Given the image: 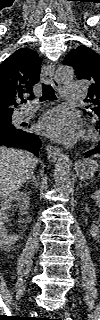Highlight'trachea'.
Instances as JSON below:
<instances>
[{
    "instance_id": "1",
    "label": "trachea",
    "mask_w": 100,
    "mask_h": 320,
    "mask_svg": "<svg viewBox=\"0 0 100 320\" xmlns=\"http://www.w3.org/2000/svg\"><path fill=\"white\" fill-rule=\"evenodd\" d=\"M56 96L51 85L42 84V97L40 101L55 100ZM26 103V100H23Z\"/></svg>"
}]
</instances>
